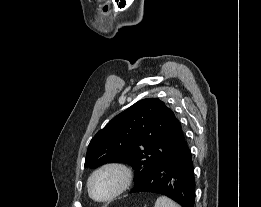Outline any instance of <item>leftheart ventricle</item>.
<instances>
[{
    "label": "left heart ventricle",
    "mask_w": 261,
    "mask_h": 207,
    "mask_svg": "<svg viewBox=\"0 0 261 207\" xmlns=\"http://www.w3.org/2000/svg\"><path fill=\"white\" fill-rule=\"evenodd\" d=\"M120 175L114 171L99 173L92 181V193L97 199H104L110 196L119 186Z\"/></svg>",
    "instance_id": "1"
}]
</instances>
